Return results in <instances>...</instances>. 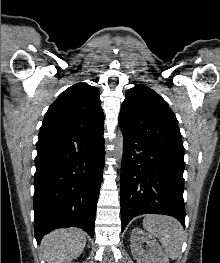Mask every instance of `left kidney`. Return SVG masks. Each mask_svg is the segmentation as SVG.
<instances>
[{
  "label": "left kidney",
  "mask_w": 220,
  "mask_h": 263,
  "mask_svg": "<svg viewBox=\"0 0 220 263\" xmlns=\"http://www.w3.org/2000/svg\"><path fill=\"white\" fill-rule=\"evenodd\" d=\"M131 251L138 263H169V260L158 242L140 228H134L131 232ZM147 243L149 251L142 248Z\"/></svg>",
  "instance_id": "obj_1"
}]
</instances>
